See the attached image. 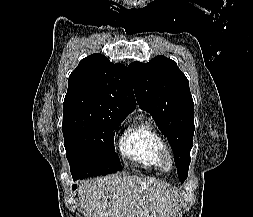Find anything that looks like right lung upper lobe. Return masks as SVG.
<instances>
[{
    "label": "right lung upper lobe",
    "mask_w": 253,
    "mask_h": 217,
    "mask_svg": "<svg viewBox=\"0 0 253 217\" xmlns=\"http://www.w3.org/2000/svg\"><path fill=\"white\" fill-rule=\"evenodd\" d=\"M136 106L127 68L101 54L82 59L71 73L63 109L124 119Z\"/></svg>",
    "instance_id": "cb5924a9"
}]
</instances>
